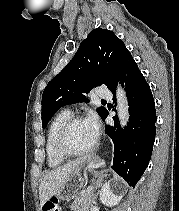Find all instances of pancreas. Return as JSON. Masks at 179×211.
<instances>
[{
	"label": "pancreas",
	"mask_w": 179,
	"mask_h": 211,
	"mask_svg": "<svg viewBox=\"0 0 179 211\" xmlns=\"http://www.w3.org/2000/svg\"><path fill=\"white\" fill-rule=\"evenodd\" d=\"M95 200V192L93 188L87 192V190L81 191L71 204L70 208L73 211H89V208Z\"/></svg>",
	"instance_id": "cf45deb5"
}]
</instances>
